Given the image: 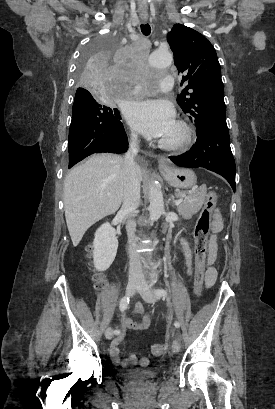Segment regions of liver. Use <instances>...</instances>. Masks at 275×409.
I'll return each mask as SVG.
<instances>
[{
    "label": "liver",
    "mask_w": 275,
    "mask_h": 409,
    "mask_svg": "<svg viewBox=\"0 0 275 409\" xmlns=\"http://www.w3.org/2000/svg\"><path fill=\"white\" fill-rule=\"evenodd\" d=\"M138 174L142 180L140 166ZM124 176V158L108 152L92 154L66 174L64 211L73 247L79 245L91 225L118 211Z\"/></svg>",
    "instance_id": "6515ba94"
}]
</instances>
